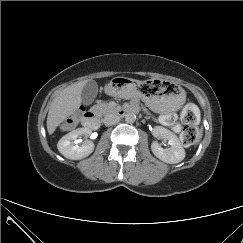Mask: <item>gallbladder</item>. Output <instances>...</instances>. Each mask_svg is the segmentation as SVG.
<instances>
[{
    "label": "gallbladder",
    "mask_w": 243,
    "mask_h": 243,
    "mask_svg": "<svg viewBox=\"0 0 243 243\" xmlns=\"http://www.w3.org/2000/svg\"><path fill=\"white\" fill-rule=\"evenodd\" d=\"M97 92H98L97 83L93 80L87 82L81 93V98L83 103L86 105L91 104L95 100L97 96Z\"/></svg>",
    "instance_id": "obj_1"
}]
</instances>
